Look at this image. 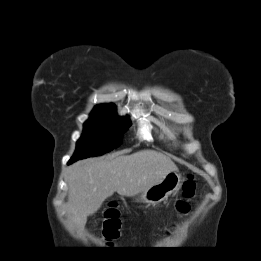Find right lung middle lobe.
<instances>
[{"label":"right lung middle lobe","mask_w":261,"mask_h":261,"mask_svg":"<svg viewBox=\"0 0 261 261\" xmlns=\"http://www.w3.org/2000/svg\"><path fill=\"white\" fill-rule=\"evenodd\" d=\"M131 125L128 117H118L115 106L102 104L96 106L88 121L84 123L82 137L77 142L71 159L78 160L102 155L122 143V135Z\"/></svg>","instance_id":"right-lung-middle-lobe-1"}]
</instances>
